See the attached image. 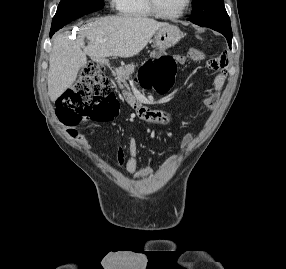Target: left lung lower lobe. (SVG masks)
<instances>
[{
    "label": "left lung lower lobe",
    "mask_w": 286,
    "mask_h": 269,
    "mask_svg": "<svg viewBox=\"0 0 286 269\" xmlns=\"http://www.w3.org/2000/svg\"><path fill=\"white\" fill-rule=\"evenodd\" d=\"M212 29L222 33L226 37L229 47L231 48L232 31L228 29H221V28H212Z\"/></svg>",
    "instance_id": "obj_1"
}]
</instances>
